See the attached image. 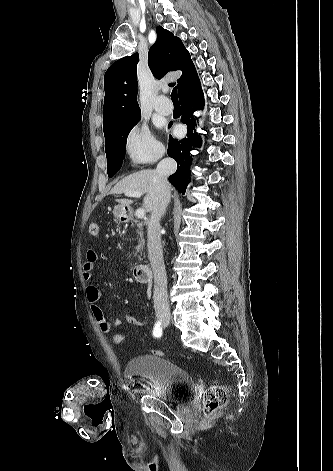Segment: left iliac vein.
<instances>
[{"instance_id": "obj_1", "label": "left iliac vein", "mask_w": 333, "mask_h": 471, "mask_svg": "<svg viewBox=\"0 0 333 471\" xmlns=\"http://www.w3.org/2000/svg\"><path fill=\"white\" fill-rule=\"evenodd\" d=\"M169 324V320L167 322L164 323L165 326H167Z\"/></svg>"}]
</instances>
